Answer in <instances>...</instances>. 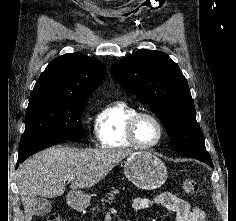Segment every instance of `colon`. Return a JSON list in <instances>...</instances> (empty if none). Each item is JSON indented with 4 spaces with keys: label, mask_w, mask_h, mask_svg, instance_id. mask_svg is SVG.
Returning <instances> with one entry per match:
<instances>
[{
    "label": "colon",
    "mask_w": 236,
    "mask_h": 221,
    "mask_svg": "<svg viewBox=\"0 0 236 221\" xmlns=\"http://www.w3.org/2000/svg\"><path fill=\"white\" fill-rule=\"evenodd\" d=\"M182 189L187 196H194L199 192V184L193 178H184L182 181ZM43 221H65L57 215H50L45 218Z\"/></svg>",
    "instance_id": "colon-1"
}]
</instances>
